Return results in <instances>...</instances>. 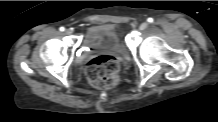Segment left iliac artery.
<instances>
[{"label":"left iliac artery","mask_w":218,"mask_h":122,"mask_svg":"<svg viewBox=\"0 0 218 122\" xmlns=\"http://www.w3.org/2000/svg\"><path fill=\"white\" fill-rule=\"evenodd\" d=\"M147 21H148L149 23H152V22H153V18H148Z\"/></svg>","instance_id":"obj_1"}]
</instances>
